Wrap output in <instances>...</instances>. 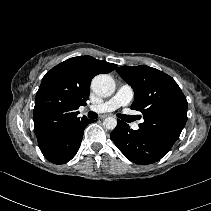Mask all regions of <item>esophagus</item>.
<instances>
[{
	"instance_id": "esophagus-1",
	"label": "esophagus",
	"mask_w": 211,
	"mask_h": 211,
	"mask_svg": "<svg viewBox=\"0 0 211 211\" xmlns=\"http://www.w3.org/2000/svg\"><path fill=\"white\" fill-rule=\"evenodd\" d=\"M109 115L105 114L101 116V119H105L106 117H108Z\"/></svg>"
}]
</instances>
